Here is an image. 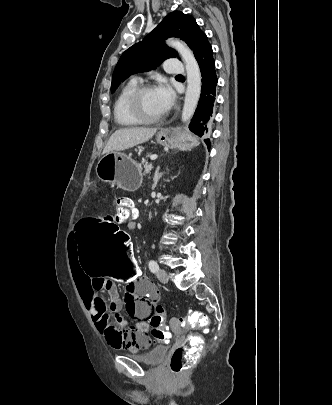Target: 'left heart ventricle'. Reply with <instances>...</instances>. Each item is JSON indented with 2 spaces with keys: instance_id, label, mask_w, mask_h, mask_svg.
<instances>
[{
  "instance_id": "obj_1",
  "label": "left heart ventricle",
  "mask_w": 332,
  "mask_h": 405,
  "mask_svg": "<svg viewBox=\"0 0 332 405\" xmlns=\"http://www.w3.org/2000/svg\"><path fill=\"white\" fill-rule=\"evenodd\" d=\"M142 109L148 117H157L166 113V110L159 100L156 89L150 90L143 95Z\"/></svg>"
}]
</instances>
